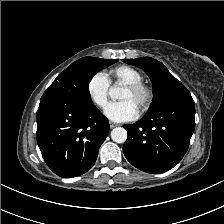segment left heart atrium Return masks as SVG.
Listing matches in <instances>:
<instances>
[{
	"label": "left heart atrium",
	"mask_w": 224,
	"mask_h": 224,
	"mask_svg": "<svg viewBox=\"0 0 224 224\" xmlns=\"http://www.w3.org/2000/svg\"><path fill=\"white\" fill-rule=\"evenodd\" d=\"M106 117L115 122H126L137 118L138 108L129 100L110 103L104 111Z\"/></svg>",
	"instance_id": "39dd6f15"
}]
</instances>
